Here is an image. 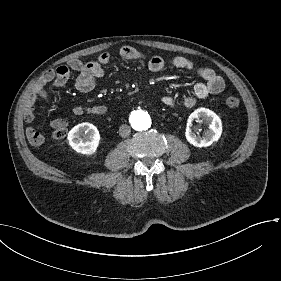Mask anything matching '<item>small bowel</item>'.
<instances>
[{"mask_svg": "<svg viewBox=\"0 0 281 281\" xmlns=\"http://www.w3.org/2000/svg\"><path fill=\"white\" fill-rule=\"evenodd\" d=\"M119 56L126 60H145L151 72L159 73L165 66L166 61L158 55L147 57L143 52L131 46H123L119 50ZM111 60L108 52H102L94 61L82 62L78 59L71 60L67 66H59L56 69L46 71L34 86L33 94L28 99L24 109V120L27 124L34 121V112L39 100H46L50 91L63 87L70 79L71 71L78 72L75 87L78 91L86 93L91 91L96 80L104 76L103 66ZM171 67L181 70L195 71L202 81L197 82L192 90L180 97L165 96L163 103L170 108H192L199 100L205 99L210 95H217L225 89L224 79L211 68L197 67L188 58L177 56L170 60ZM76 116L84 114L104 115L108 112V107L103 104L79 105L73 109ZM29 141L40 146L44 142V136L28 127L25 131Z\"/></svg>", "mask_w": 281, "mask_h": 281, "instance_id": "c3829d8e", "label": "small bowel"}]
</instances>
